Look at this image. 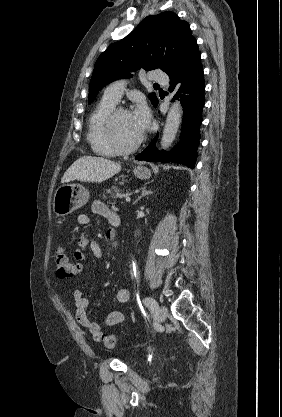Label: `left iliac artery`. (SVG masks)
<instances>
[{"label": "left iliac artery", "instance_id": "left-iliac-artery-1", "mask_svg": "<svg viewBox=\"0 0 282 417\" xmlns=\"http://www.w3.org/2000/svg\"><path fill=\"white\" fill-rule=\"evenodd\" d=\"M143 303L151 310L153 314H157L158 304L153 298L146 297L143 299Z\"/></svg>", "mask_w": 282, "mask_h": 417}]
</instances>
